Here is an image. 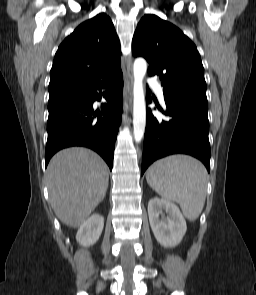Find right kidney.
I'll return each instance as SVG.
<instances>
[{"instance_id":"right-kidney-1","label":"right kidney","mask_w":256,"mask_h":295,"mask_svg":"<svg viewBox=\"0 0 256 295\" xmlns=\"http://www.w3.org/2000/svg\"><path fill=\"white\" fill-rule=\"evenodd\" d=\"M104 227V218L99 214L90 216L78 229L77 242L82 246H90L97 242Z\"/></svg>"}]
</instances>
